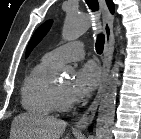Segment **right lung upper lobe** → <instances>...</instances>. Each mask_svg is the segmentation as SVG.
I'll list each match as a JSON object with an SVG mask.
<instances>
[{
	"label": "right lung upper lobe",
	"mask_w": 141,
	"mask_h": 139,
	"mask_svg": "<svg viewBox=\"0 0 141 139\" xmlns=\"http://www.w3.org/2000/svg\"><path fill=\"white\" fill-rule=\"evenodd\" d=\"M106 2H107V5H108L110 11L113 13L114 12V4H113L112 0H106Z\"/></svg>",
	"instance_id": "cb5924a9"
}]
</instances>
